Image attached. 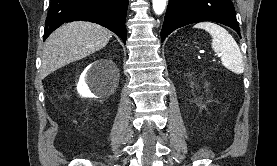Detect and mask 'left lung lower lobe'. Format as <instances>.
I'll return each mask as SVG.
<instances>
[{
	"instance_id": "left-lung-lower-lobe-1",
	"label": "left lung lower lobe",
	"mask_w": 277,
	"mask_h": 166,
	"mask_svg": "<svg viewBox=\"0 0 277 166\" xmlns=\"http://www.w3.org/2000/svg\"><path fill=\"white\" fill-rule=\"evenodd\" d=\"M202 21L224 24L241 36L231 0H169L161 30V41L180 27Z\"/></svg>"
}]
</instances>
